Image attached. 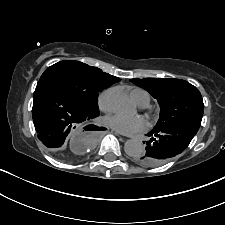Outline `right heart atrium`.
Instances as JSON below:
<instances>
[{
    "instance_id": "right-heart-atrium-1",
    "label": "right heart atrium",
    "mask_w": 225,
    "mask_h": 225,
    "mask_svg": "<svg viewBox=\"0 0 225 225\" xmlns=\"http://www.w3.org/2000/svg\"><path fill=\"white\" fill-rule=\"evenodd\" d=\"M113 94V89H106L102 91L97 100L98 107L103 112H108L111 110V97Z\"/></svg>"
}]
</instances>
